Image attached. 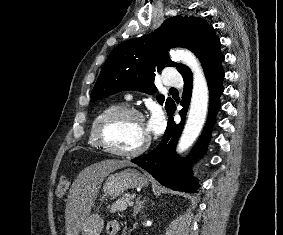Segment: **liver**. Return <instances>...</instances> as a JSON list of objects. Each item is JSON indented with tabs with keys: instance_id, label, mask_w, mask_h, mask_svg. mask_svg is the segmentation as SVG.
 Masks as SVG:
<instances>
[{
	"instance_id": "6515ba94",
	"label": "liver",
	"mask_w": 283,
	"mask_h": 235,
	"mask_svg": "<svg viewBox=\"0 0 283 235\" xmlns=\"http://www.w3.org/2000/svg\"><path fill=\"white\" fill-rule=\"evenodd\" d=\"M127 160H104L90 165L74 180L66 203V235H78L88 217L103 179L117 169L131 166Z\"/></svg>"
}]
</instances>
